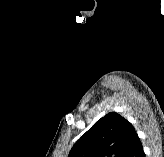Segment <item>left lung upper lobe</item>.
I'll return each instance as SVG.
<instances>
[{"instance_id":"left-lung-upper-lobe-1","label":"left lung upper lobe","mask_w":164,"mask_h":157,"mask_svg":"<svg viewBox=\"0 0 164 157\" xmlns=\"http://www.w3.org/2000/svg\"><path fill=\"white\" fill-rule=\"evenodd\" d=\"M135 134L130 122L110 112L76 142L68 157H122Z\"/></svg>"}]
</instances>
